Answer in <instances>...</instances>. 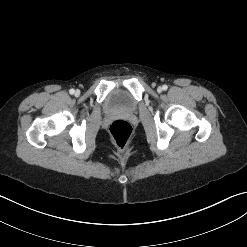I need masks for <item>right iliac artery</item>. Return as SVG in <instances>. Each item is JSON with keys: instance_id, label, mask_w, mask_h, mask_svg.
<instances>
[{"instance_id": "right-iliac-artery-1", "label": "right iliac artery", "mask_w": 247, "mask_h": 247, "mask_svg": "<svg viewBox=\"0 0 247 247\" xmlns=\"http://www.w3.org/2000/svg\"><path fill=\"white\" fill-rule=\"evenodd\" d=\"M69 93H70V94H74V93H75V90H74V89H70V90H69Z\"/></svg>"}]
</instances>
